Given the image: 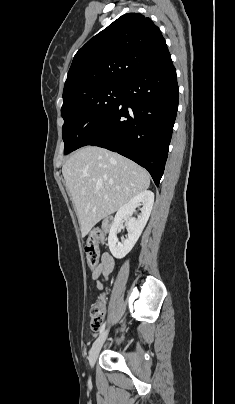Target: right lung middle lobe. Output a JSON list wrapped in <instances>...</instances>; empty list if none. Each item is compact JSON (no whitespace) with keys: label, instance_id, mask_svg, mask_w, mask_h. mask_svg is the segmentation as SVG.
Segmentation results:
<instances>
[{"label":"right lung middle lobe","instance_id":"1","mask_svg":"<svg viewBox=\"0 0 235 404\" xmlns=\"http://www.w3.org/2000/svg\"><path fill=\"white\" fill-rule=\"evenodd\" d=\"M123 84L103 86L79 95L61 108L64 119V153L77 149L87 133L99 124L121 101Z\"/></svg>","mask_w":235,"mask_h":404}]
</instances>
